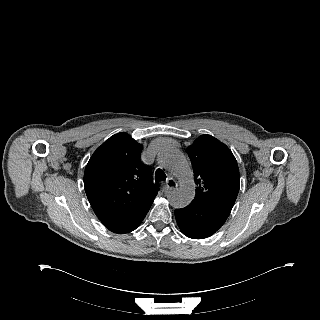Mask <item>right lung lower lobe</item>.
I'll return each instance as SVG.
<instances>
[{"mask_svg": "<svg viewBox=\"0 0 320 320\" xmlns=\"http://www.w3.org/2000/svg\"><path fill=\"white\" fill-rule=\"evenodd\" d=\"M149 209H144L131 215L106 220L102 222L107 229L114 233L123 234L135 230L146 216Z\"/></svg>", "mask_w": 320, "mask_h": 320, "instance_id": "right-lung-lower-lobe-1", "label": "right lung lower lobe"}]
</instances>
